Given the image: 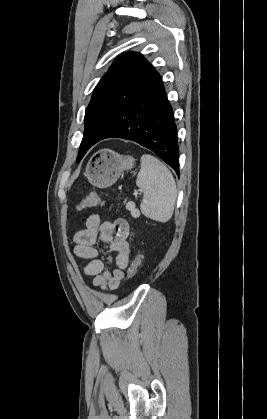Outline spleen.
<instances>
[{
  "mask_svg": "<svg viewBox=\"0 0 267 419\" xmlns=\"http://www.w3.org/2000/svg\"><path fill=\"white\" fill-rule=\"evenodd\" d=\"M140 161L136 185L144 191L141 212L152 220L167 222L173 215L177 198L175 179L156 157L144 154Z\"/></svg>",
  "mask_w": 267,
  "mask_h": 419,
  "instance_id": "1",
  "label": "spleen"
}]
</instances>
